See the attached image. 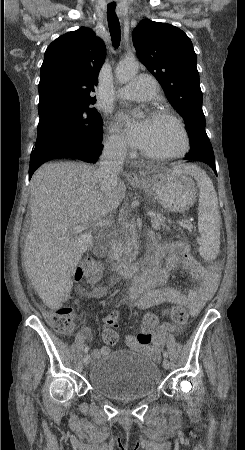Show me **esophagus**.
<instances>
[{
    "label": "esophagus",
    "mask_w": 245,
    "mask_h": 450,
    "mask_svg": "<svg viewBox=\"0 0 245 450\" xmlns=\"http://www.w3.org/2000/svg\"><path fill=\"white\" fill-rule=\"evenodd\" d=\"M128 177L130 179H132V180H139L140 179V176L134 171L129 172Z\"/></svg>",
    "instance_id": "obj_1"
}]
</instances>
